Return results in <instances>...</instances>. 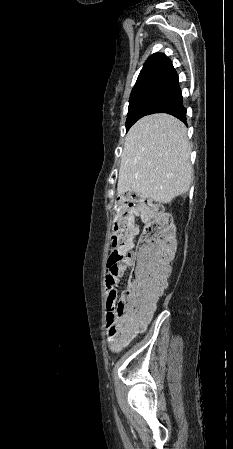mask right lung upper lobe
Wrapping results in <instances>:
<instances>
[{
    "label": "right lung upper lobe",
    "mask_w": 233,
    "mask_h": 449,
    "mask_svg": "<svg viewBox=\"0 0 233 449\" xmlns=\"http://www.w3.org/2000/svg\"><path fill=\"white\" fill-rule=\"evenodd\" d=\"M152 89L180 90L178 75L163 53H154L145 62L131 95Z\"/></svg>",
    "instance_id": "right-lung-upper-lobe-1"
}]
</instances>
